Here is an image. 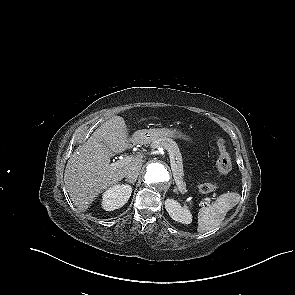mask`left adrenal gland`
I'll list each match as a JSON object with an SVG mask.
<instances>
[{
	"mask_svg": "<svg viewBox=\"0 0 295 295\" xmlns=\"http://www.w3.org/2000/svg\"><path fill=\"white\" fill-rule=\"evenodd\" d=\"M173 192L178 193L177 187H174Z\"/></svg>",
	"mask_w": 295,
	"mask_h": 295,
	"instance_id": "a2214340",
	"label": "left adrenal gland"
}]
</instances>
